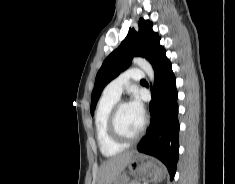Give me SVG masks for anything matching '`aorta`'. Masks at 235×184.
<instances>
[{
    "label": "aorta",
    "mask_w": 235,
    "mask_h": 184,
    "mask_svg": "<svg viewBox=\"0 0 235 184\" xmlns=\"http://www.w3.org/2000/svg\"><path fill=\"white\" fill-rule=\"evenodd\" d=\"M133 64H135V66H139V68L147 74L149 80L154 82V70L147 60H144V58H133Z\"/></svg>",
    "instance_id": "obj_1"
}]
</instances>
